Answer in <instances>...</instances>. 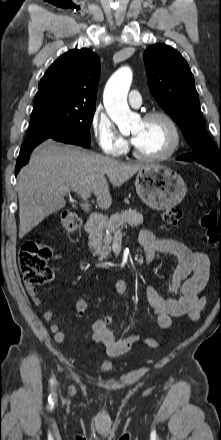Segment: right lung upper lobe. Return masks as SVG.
I'll list each match as a JSON object with an SVG mask.
<instances>
[{"label":"right lung upper lobe","mask_w":221,"mask_h":440,"mask_svg":"<svg viewBox=\"0 0 221 440\" xmlns=\"http://www.w3.org/2000/svg\"><path fill=\"white\" fill-rule=\"evenodd\" d=\"M99 78L100 60L93 51L86 48L70 50L48 68L34 101L94 106Z\"/></svg>","instance_id":"1"}]
</instances>
